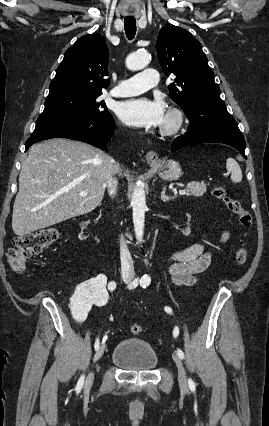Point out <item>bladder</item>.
<instances>
[{
    "mask_svg": "<svg viewBox=\"0 0 269 426\" xmlns=\"http://www.w3.org/2000/svg\"><path fill=\"white\" fill-rule=\"evenodd\" d=\"M112 363L125 372H151L159 363L153 347L142 339L127 338L119 341L111 353Z\"/></svg>",
    "mask_w": 269,
    "mask_h": 426,
    "instance_id": "31cf9c89",
    "label": "bladder"
}]
</instances>
